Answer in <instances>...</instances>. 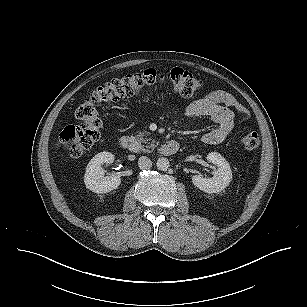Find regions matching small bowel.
<instances>
[{
	"instance_id": "obj_1",
	"label": "small bowel",
	"mask_w": 307,
	"mask_h": 307,
	"mask_svg": "<svg viewBox=\"0 0 307 307\" xmlns=\"http://www.w3.org/2000/svg\"><path fill=\"white\" fill-rule=\"evenodd\" d=\"M191 118H208L214 126L202 136L206 144H218L226 139L238 120L248 116L247 110L236 98L223 90H213L191 102L186 108Z\"/></svg>"
}]
</instances>
